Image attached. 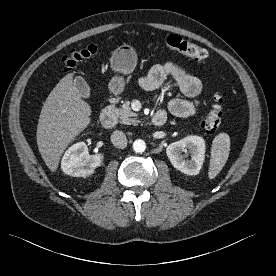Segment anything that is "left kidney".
I'll list each match as a JSON object with an SVG mask.
<instances>
[{
    "label": "left kidney",
    "instance_id": "1",
    "mask_svg": "<svg viewBox=\"0 0 276 276\" xmlns=\"http://www.w3.org/2000/svg\"><path fill=\"white\" fill-rule=\"evenodd\" d=\"M187 150L191 154L190 160H186L181 154ZM166 154L174 168L187 175H197L205 157V141L202 137L189 135L171 143L166 148Z\"/></svg>",
    "mask_w": 276,
    "mask_h": 276
}]
</instances>
